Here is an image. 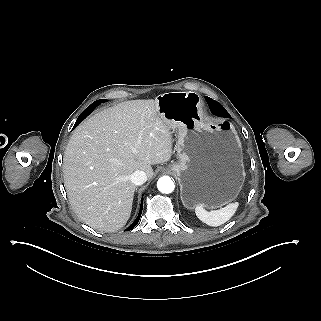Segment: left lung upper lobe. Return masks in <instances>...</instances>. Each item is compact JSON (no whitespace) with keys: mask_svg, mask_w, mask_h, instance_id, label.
Returning <instances> with one entry per match:
<instances>
[{"mask_svg":"<svg viewBox=\"0 0 321 321\" xmlns=\"http://www.w3.org/2000/svg\"><path fill=\"white\" fill-rule=\"evenodd\" d=\"M206 101H207L208 103H214V101H213L211 98H208V97H206Z\"/></svg>","mask_w":321,"mask_h":321,"instance_id":"left-lung-upper-lobe-1","label":"left lung upper lobe"}]
</instances>
